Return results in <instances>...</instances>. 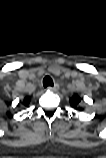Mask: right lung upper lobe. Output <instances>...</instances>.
<instances>
[{"label":"right lung upper lobe","mask_w":106,"mask_h":158,"mask_svg":"<svg viewBox=\"0 0 106 158\" xmlns=\"http://www.w3.org/2000/svg\"><path fill=\"white\" fill-rule=\"evenodd\" d=\"M30 100H31L30 97H25L24 100H23V102H22L23 105H24V106H28V104L30 103Z\"/></svg>","instance_id":"1"}]
</instances>
